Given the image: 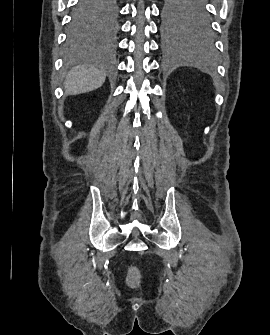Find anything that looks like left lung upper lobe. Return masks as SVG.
Returning <instances> with one entry per match:
<instances>
[{"mask_svg":"<svg viewBox=\"0 0 270 335\" xmlns=\"http://www.w3.org/2000/svg\"><path fill=\"white\" fill-rule=\"evenodd\" d=\"M163 29L166 33L208 31L210 18L206 0H163Z\"/></svg>","mask_w":270,"mask_h":335,"instance_id":"1","label":"left lung upper lobe"}]
</instances>
